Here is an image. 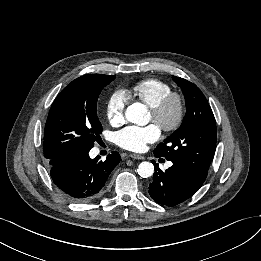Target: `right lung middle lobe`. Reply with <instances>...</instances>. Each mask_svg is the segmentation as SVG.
I'll list each match as a JSON object with an SVG mask.
<instances>
[{"label":"right lung middle lobe","mask_w":261,"mask_h":261,"mask_svg":"<svg viewBox=\"0 0 261 261\" xmlns=\"http://www.w3.org/2000/svg\"><path fill=\"white\" fill-rule=\"evenodd\" d=\"M114 79L113 75H84L61 91L45 125V158H69L90 151L102 130L96 111L98 97Z\"/></svg>","instance_id":"1"}]
</instances>
